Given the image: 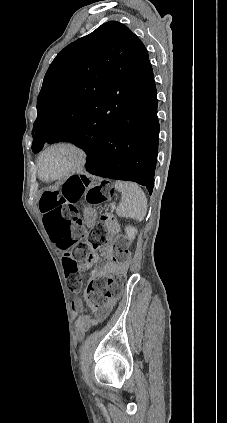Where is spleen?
<instances>
[{
  "label": "spleen",
  "instance_id": "spleen-1",
  "mask_svg": "<svg viewBox=\"0 0 227 423\" xmlns=\"http://www.w3.org/2000/svg\"><path fill=\"white\" fill-rule=\"evenodd\" d=\"M115 188L122 196L116 210L117 215L142 221L147 211V200L141 188L134 182H115Z\"/></svg>",
  "mask_w": 227,
  "mask_h": 423
}]
</instances>
